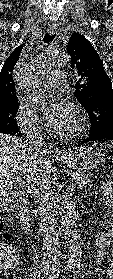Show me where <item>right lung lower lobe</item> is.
Instances as JSON below:
<instances>
[{"label":"right lung lower lobe","instance_id":"98d812e1","mask_svg":"<svg viewBox=\"0 0 113 279\" xmlns=\"http://www.w3.org/2000/svg\"><path fill=\"white\" fill-rule=\"evenodd\" d=\"M18 132H16V133H10V134H12V135H15V134H17Z\"/></svg>","mask_w":113,"mask_h":279}]
</instances>
